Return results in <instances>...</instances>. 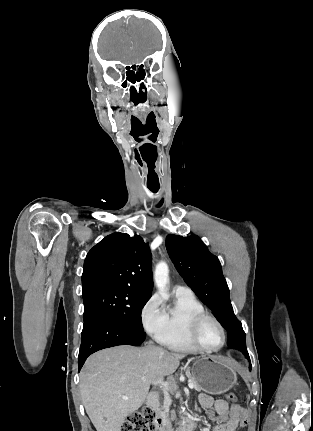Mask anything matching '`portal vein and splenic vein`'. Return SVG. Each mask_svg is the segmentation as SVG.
I'll use <instances>...</instances> for the list:
<instances>
[{
	"mask_svg": "<svg viewBox=\"0 0 313 431\" xmlns=\"http://www.w3.org/2000/svg\"><path fill=\"white\" fill-rule=\"evenodd\" d=\"M170 385H174V384H173V383H169V382H163V383H162V386H163L164 388H168ZM188 387H189L190 389H192V388H194V384H193V383H191V382H189ZM123 399H128V397H123Z\"/></svg>",
	"mask_w": 313,
	"mask_h": 431,
	"instance_id": "1",
	"label": "portal vein and splenic vein"
}]
</instances>
